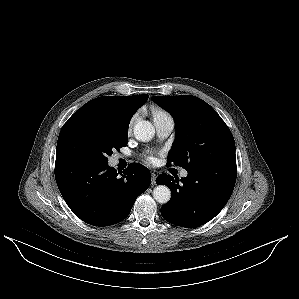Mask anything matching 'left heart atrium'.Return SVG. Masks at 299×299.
I'll use <instances>...</instances> for the list:
<instances>
[{
    "label": "left heart atrium",
    "mask_w": 299,
    "mask_h": 299,
    "mask_svg": "<svg viewBox=\"0 0 299 299\" xmlns=\"http://www.w3.org/2000/svg\"><path fill=\"white\" fill-rule=\"evenodd\" d=\"M146 160L149 162V163H154L155 162V157L153 154H150L147 156Z\"/></svg>",
    "instance_id": "1"
}]
</instances>
